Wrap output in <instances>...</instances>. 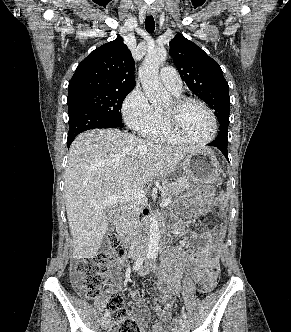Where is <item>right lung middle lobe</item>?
<instances>
[{
  "instance_id": "obj_1",
  "label": "right lung middle lobe",
  "mask_w": 291,
  "mask_h": 332,
  "mask_svg": "<svg viewBox=\"0 0 291 332\" xmlns=\"http://www.w3.org/2000/svg\"><path fill=\"white\" fill-rule=\"evenodd\" d=\"M130 91L128 89L98 91L68 98L69 113L75 107L86 106L96 113L103 115L114 128H121L123 124L120 109Z\"/></svg>"
}]
</instances>
